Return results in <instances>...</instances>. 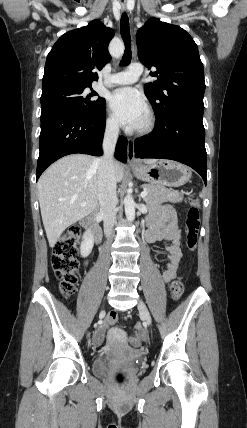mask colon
Masks as SVG:
<instances>
[{
	"label": "colon",
	"instance_id": "colon-1",
	"mask_svg": "<svg viewBox=\"0 0 247 428\" xmlns=\"http://www.w3.org/2000/svg\"><path fill=\"white\" fill-rule=\"evenodd\" d=\"M200 226V202L195 197L189 198V208L185 219V243L189 251L196 248ZM82 240L81 229L73 226L65 238L61 239L54 248L51 263L55 276L59 281V288L63 296L70 297L75 292L78 270V244ZM170 292L174 300H178L184 293V283L180 278L170 285ZM117 321V314L110 313L106 318L107 324ZM141 330H136V336L131 339L133 346H138ZM122 382L123 378L118 377Z\"/></svg>",
	"mask_w": 247,
	"mask_h": 428
}]
</instances>
